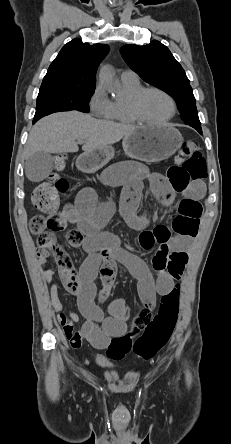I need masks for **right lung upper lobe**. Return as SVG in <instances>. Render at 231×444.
I'll return each instance as SVG.
<instances>
[{"label": "right lung upper lobe", "instance_id": "cb5924a9", "mask_svg": "<svg viewBox=\"0 0 231 444\" xmlns=\"http://www.w3.org/2000/svg\"><path fill=\"white\" fill-rule=\"evenodd\" d=\"M108 52L106 44L90 45L73 39L51 63L40 88H95L97 67Z\"/></svg>", "mask_w": 231, "mask_h": 444}]
</instances>
